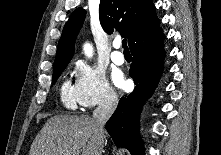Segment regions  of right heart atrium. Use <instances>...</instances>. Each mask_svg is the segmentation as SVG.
I'll return each instance as SVG.
<instances>
[{
	"mask_svg": "<svg viewBox=\"0 0 221 155\" xmlns=\"http://www.w3.org/2000/svg\"><path fill=\"white\" fill-rule=\"evenodd\" d=\"M75 72L76 96L82 108L110 107L117 103V94L102 69L78 61L75 64Z\"/></svg>",
	"mask_w": 221,
	"mask_h": 155,
	"instance_id": "right-heart-atrium-1",
	"label": "right heart atrium"
}]
</instances>
